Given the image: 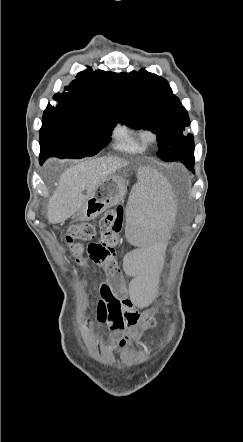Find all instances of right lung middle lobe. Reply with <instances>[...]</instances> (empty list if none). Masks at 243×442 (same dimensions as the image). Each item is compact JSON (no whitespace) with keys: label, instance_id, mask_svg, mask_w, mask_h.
Wrapping results in <instances>:
<instances>
[{"label":"right lung middle lobe","instance_id":"dd1d6c3e","mask_svg":"<svg viewBox=\"0 0 243 442\" xmlns=\"http://www.w3.org/2000/svg\"><path fill=\"white\" fill-rule=\"evenodd\" d=\"M116 122L98 115H82L62 106L48 105L40 129V159L83 158L99 153L111 140ZM41 162V163H42Z\"/></svg>","mask_w":243,"mask_h":442}]
</instances>
